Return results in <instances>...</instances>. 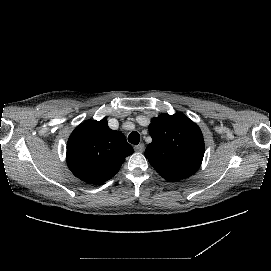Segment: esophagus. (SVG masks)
<instances>
[{
    "label": "esophagus",
    "mask_w": 271,
    "mask_h": 271,
    "mask_svg": "<svg viewBox=\"0 0 271 271\" xmlns=\"http://www.w3.org/2000/svg\"><path fill=\"white\" fill-rule=\"evenodd\" d=\"M134 150L136 152L142 153L145 150V144L144 143H140V144L136 145L134 147Z\"/></svg>",
    "instance_id": "obj_1"
}]
</instances>
